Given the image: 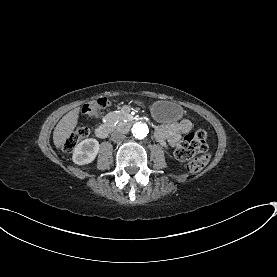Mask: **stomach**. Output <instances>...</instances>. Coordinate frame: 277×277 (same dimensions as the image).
I'll return each mask as SVG.
<instances>
[{"mask_svg":"<svg viewBox=\"0 0 277 277\" xmlns=\"http://www.w3.org/2000/svg\"><path fill=\"white\" fill-rule=\"evenodd\" d=\"M151 113L157 121L171 123L182 117L183 109L172 102L157 101L152 104Z\"/></svg>","mask_w":277,"mask_h":277,"instance_id":"stomach-1","label":"stomach"}]
</instances>
